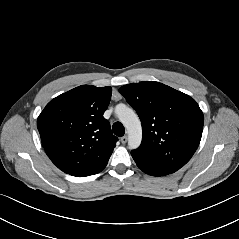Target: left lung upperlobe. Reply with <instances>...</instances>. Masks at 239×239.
Listing matches in <instances>:
<instances>
[{"label":"left lung upper lobe","instance_id":"left-lung-upper-lobe-1","mask_svg":"<svg viewBox=\"0 0 239 239\" xmlns=\"http://www.w3.org/2000/svg\"><path fill=\"white\" fill-rule=\"evenodd\" d=\"M119 92L136 110L143 130L133 159L166 174L176 172L195 153L204 116L189 95L159 82L124 85Z\"/></svg>","mask_w":239,"mask_h":239}]
</instances>
